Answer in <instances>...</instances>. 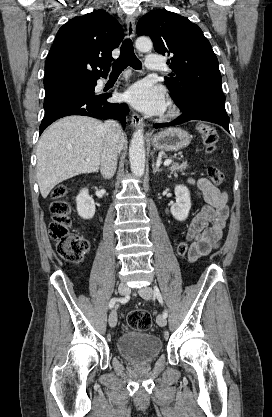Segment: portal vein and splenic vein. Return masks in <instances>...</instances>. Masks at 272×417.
I'll return each instance as SVG.
<instances>
[{"instance_id": "18ae733b", "label": "portal vein and splenic vein", "mask_w": 272, "mask_h": 417, "mask_svg": "<svg viewBox=\"0 0 272 417\" xmlns=\"http://www.w3.org/2000/svg\"><path fill=\"white\" fill-rule=\"evenodd\" d=\"M86 160H87V161H90V159H89V158H87ZM171 162H172V160H171V159H167V160H165V161H164V166H168V165H170V164H171Z\"/></svg>"}]
</instances>
